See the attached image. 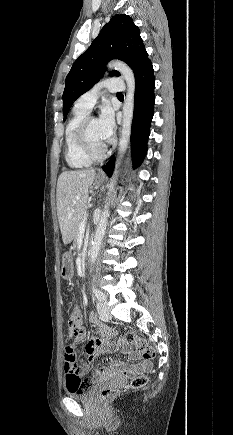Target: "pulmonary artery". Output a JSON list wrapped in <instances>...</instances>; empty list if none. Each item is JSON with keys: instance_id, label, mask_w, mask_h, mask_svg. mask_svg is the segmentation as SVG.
I'll list each match as a JSON object with an SVG mask.
<instances>
[{"instance_id": "pulmonary-artery-1", "label": "pulmonary artery", "mask_w": 233, "mask_h": 435, "mask_svg": "<svg viewBox=\"0 0 233 435\" xmlns=\"http://www.w3.org/2000/svg\"><path fill=\"white\" fill-rule=\"evenodd\" d=\"M101 89H107L112 93L120 94L124 91V79L122 77L107 79L96 85L90 91L81 95L75 103V107L90 112L98 98Z\"/></svg>"}]
</instances>
